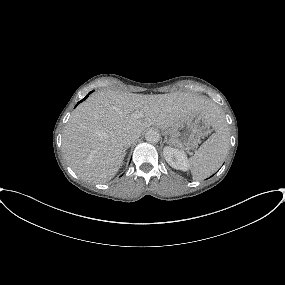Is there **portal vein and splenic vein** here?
I'll return each instance as SVG.
<instances>
[{"mask_svg": "<svg viewBox=\"0 0 285 285\" xmlns=\"http://www.w3.org/2000/svg\"><path fill=\"white\" fill-rule=\"evenodd\" d=\"M134 115H135V117H140V116H142L141 113H139V112H135Z\"/></svg>", "mask_w": 285, "mask_h": 285, "instance_id": "obj_1", "label": "portal vein and splenic vein"}]
</instances>
